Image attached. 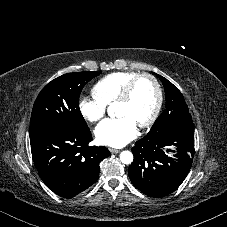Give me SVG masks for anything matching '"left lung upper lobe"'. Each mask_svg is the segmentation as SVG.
<instances>
[{"label": "left lung upper lobe", "instance_id": "1", "mask_svg": "<svg viewBox=\"0 0 227 227\" xmlns=\"http://www.w3.org/2000/svg\"><path fill=\"white\" fill-rule=\"evenodd\" d=\"M156 76L164 86L166 108L144 139L155 138L170 132L194 129L192 117L181 92L166 78L158 74Z\"/></svg>", "mask_w": 227, "mask_h": 227}]
</instances>
